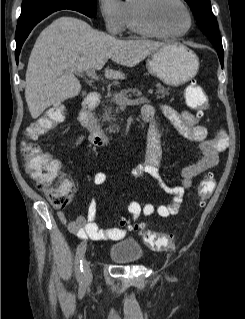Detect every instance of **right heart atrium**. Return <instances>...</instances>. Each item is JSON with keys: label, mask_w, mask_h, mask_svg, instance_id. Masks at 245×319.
<instances>
[{"label": "right heart atrium", "mask_w": 245, "mask_h": 319, "mask_svg": "<svg viewBox=\"0 0 245 319\" xmlns=\"http://www.w3.org/2000/svg\"><path fill=\"white\" fill-rule=\"evenodd\" d=\"M99 12L107 32L120 35L125 28L123 2L121 0H98Z\"/></svg>", "instance_id": "obj_1"}]
</instances>
